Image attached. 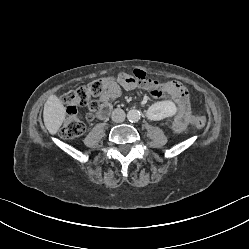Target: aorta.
<instances>
[{"label": "aorta", "mask_w": 249, "mask_h": 249, "mask_svg": "<svg viewBox=\"0 0 249 249\" xmlns=\"http://www.w3.org/2000/svg\"><path fill=\"white\" fill-rule=\"evenodd\" d=\"M141 114L137 109H131L127 113V118L130 122H138L140 120Z\"/></svg>", "instance_id": "1"}]
</instances>
